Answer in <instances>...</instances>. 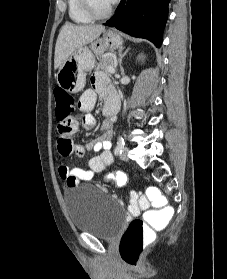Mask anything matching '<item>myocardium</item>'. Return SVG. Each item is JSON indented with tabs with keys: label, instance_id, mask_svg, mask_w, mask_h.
<instances>
[{
	"label": "myocardium",
	"instance_id": "1",
	"mask_svg": "<svg viewBox=\"0 0 227 279\" xmlns=\"http://www.w3.org/2000/svg\"><path fill=\"white\" fill-rule=\"evenodd\" d=\"M79 1L82 9L91 19H105L109 17L114 7V2H112L109 8L104 13H98L92 7L90 0H79Z\"/></svg>",
	"mask_w": 227,
	"mask_h": 279
}]
</instances>
